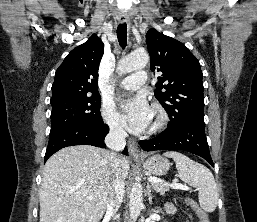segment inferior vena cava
Wrapping results in <instances>:
<instances>
[{"instance_id": "inferior-vena-cava-1", "label": "inferior vena cava", "mask_w": 257, "mask_h": 222, "mask_svg": "<svg viewBox=\"0 0 257 222\" xmlns=\"http://www.w3.org/2000/svg\"><path fill=\"white\" fill-rule=\"evenodd\" d=\"M127 133L117 123L110 124V131L105 137V144L109 148L106 152L112 175V188L107 204V213L112 217L116 215L125 193V183L120 175L117 152L122 151L126 145Z\"/></svg>"}]
</instances>
